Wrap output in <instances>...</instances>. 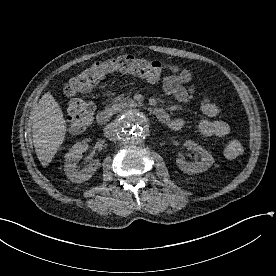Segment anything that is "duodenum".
I'll return each mask as SVG.
<instances>
[{
  "mask_svg": "<svg viewBox=\"0 0 276 276\" xmlns=\"http://www.w3.org/2000/svg\"><path fill=\"white\" fill-rule=\"evenodd\" d=\"M150 112L161 122L167 123L169 120V115L165 110L159 107L150 108ZM113 117V112L111 109L106 108L98 112L96 119L97 122L101 125H105L111 121Z\"/></svg>",
  "mask_w": 276,
  "mask_h": 276,
  "instance_id": "410a0bca",
  "label": "duodenum"
}]
</instances>
